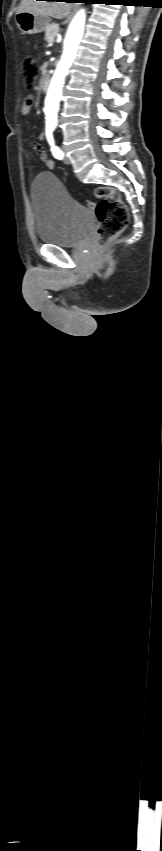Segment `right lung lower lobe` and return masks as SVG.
Instances as JSON below:
<instances>
[{
    "mask_svg": "<svg viewBox=\"0 0 162 851\" xmlns=\"http://www.w3.org/2000/svg\"><path fill=\"white\" fill-rule=\"evenodd\" d=\"M47 1H58V0H47ZM65 2H84L86 4L94 3V0H64Z\"/></svg>",
    "mask_w": 162,
    "mask_h": 851,
    "instance_id": "right-lung-lower-lobe-1",
    "label": "right lung lower lobe"
}]
</instances>
